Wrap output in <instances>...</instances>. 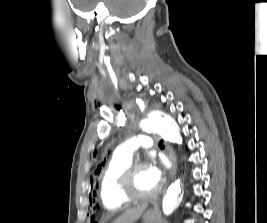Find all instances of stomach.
Returning a JSON list of instances; mask_svg holds the SVG:
<instances>
[{"mask_svg": "<svg viewBox=\"0 0 267 223\" xmlns=\"http://www.w3.org/2000/svg\"><path fill=\"white\" fill-rule=\"evenodd\" d=\"M143 223H159V213L156 208L148 209L143 214Z\"/></svg>", "mask_w": 267, "mask_h": 223, "instance_id": "stomach-1", "label": "stomach"}]
</instances>
